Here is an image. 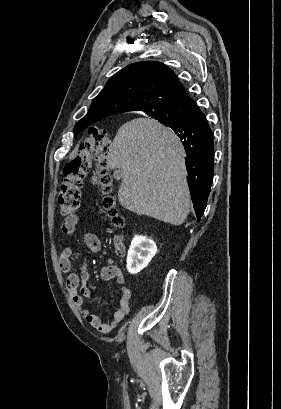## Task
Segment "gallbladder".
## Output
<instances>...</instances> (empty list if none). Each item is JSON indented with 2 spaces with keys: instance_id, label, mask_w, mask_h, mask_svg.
<instances>
[{
  "instance_id": "obj_1",
  "label": "gallbladder",
  "mask_w": 281,
  "mask_h": 409,
  "mask_svg": "<svg viewBox=\"0 0 281 409\" xmlns=\"http://www.w3.org/2000/svg\"><path fill=\"white\" fill-rule=\"evenodd\" d=\"M114 176L115 178H121V172H119V170H115Z\"/></svg>"
}]
</instances>
